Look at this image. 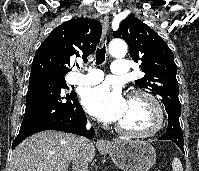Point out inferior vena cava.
<instances>
[{"instance_id":"obj_1","label":"inferior vena cava","mask_w":199,"mask_h":171,"mask_svg":"<svg viewBox=\"0 0 199 171\" xmlns=\"http://www.w3.org/2000/svg\"><path fill=\"white\" fill-rule=\"evenodd\" d=\"M89 128V126H87ZM88 140L85 137L78 138L77 148L73 156L72 171H89L88 160L86 158L85 148Z\"/></svg>"}]
</instances>
